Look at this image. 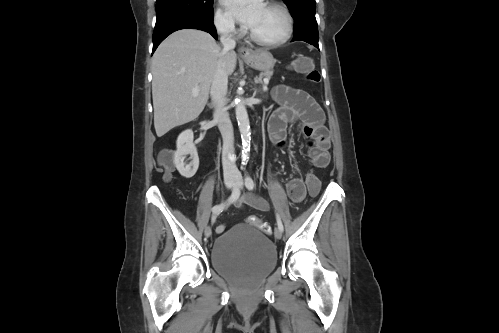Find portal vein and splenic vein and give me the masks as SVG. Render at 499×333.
<instances>
[{"mask_svg": "<svg viewBox=\"0 0 499 333\" xmlns=\"http://www.w3.org/2000/svg\"><path fill=\"white\" fill-rule=\"evenodd\" d=\"M268 81H269V80L264 79L265 84H268ZM263 89H264V90H267V87H266V86H264V88H263ZM198 92H199V88H198V87H196V88H194V89L192 90V95H193V96H196V95L198 94Z\"/></svg>", "mask_w": 499, "mask_h": 333, "instance_id": "obj_1", "label": "portal vein and splenic vein"}]
</instances>
